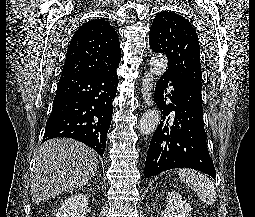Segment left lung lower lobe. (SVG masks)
Listing matches in <instances>:
<instances>
[{
	"label": "left lung lower lobe",
	"instance_id": "1",
	"mask_svg": "<svg viewBox=\"0 0 255 217\" xmlns=\"http://www.w3.org/2000/svg\"><path fill=\"white\" fill-rule=\"evenodd\" d=\"M170 82V83H169ZM172 86L170 94L167 88ZM201 89L166 71L155 88L162 121L153 134L145 162V178L174 168H191L215 178L203 125ZM167 96L171 103L166 105ZM174 111L175 117L170 114Z\"/></svg>",
	"mask_w": 255,
	"mask_h": 217
}]
</instances>
